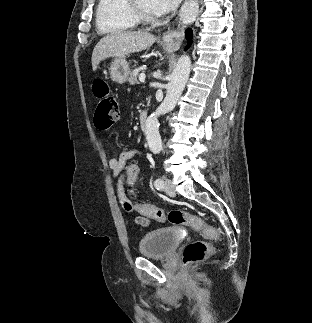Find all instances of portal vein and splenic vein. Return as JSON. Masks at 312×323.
<instances>
[{"mask_svg":"<svg viewBox=\"0 0 312 323\" xmlns=\"http://www.w3.org/2000/svg\"><path fill=\"white\" fill-rule=\"evenodd\" d=\"M145 78H146L145 74H140L139 76L140 82H145Z\"/></svg>","mask_w":312,"mask_h":323,"instance_id":"obj_1","label":"portal vein and splenic vein"}]
</instances>
